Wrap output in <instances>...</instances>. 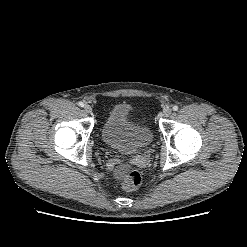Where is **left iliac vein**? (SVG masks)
Here are the masks:
<instances>
[{
    "mask_svg": "<svg viewBox=\"0 0 247 247\" xmlns=\"http://www.w3.org/2000/svg\"><path fill=\"white\" fill-rule=\"evenodd\" d=\"M172 114V110L170 108H167L163 111L164 117H169Z\"/></svg>",
    "mask_w": 247,
    "mask_h": 247,
    "instance_id": "4c4485c4",
    "label": "left iliac vein"
}]
</instances>
